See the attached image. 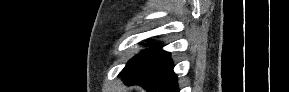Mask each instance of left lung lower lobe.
<instances>
[{
  "instance_id": "obj_1",
  "label": "left lung lower lobe",
  "mask_w": 289,
  "mask_h": 92,
  "mask_svg": "<svg viewBox=\"0 0 289 92\" xmlns=\"http://www.w3.org/2000/svg\"><path fill=\"white\" fill-rule=\"evenodd\" d=\"M154 44L120 72L126 83L138 84L147 91L179 92L170 53Z\"/></svg>"
}]
</instances>
